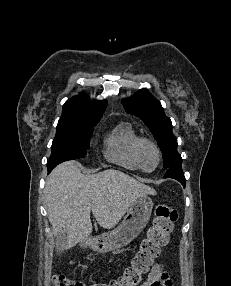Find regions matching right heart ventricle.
Wrapping results in <instances>:
<instances>
[{"label": "right heart ventricle", "mask_w": 231, "mask_h": 286, "mask_svg": "<svg viewBox=\"0 0 231 286\" xmlns=\"http://www.w3.org/2000/svg\"><path fill=\"white\" fill-rule=\"evenodd\" d=\"M139 138V134L130 123L118 124L104 139L105 158L125 169L139 170L134 158V148Z\"/></svg>", "instance_id": "1"}]
</instances>
